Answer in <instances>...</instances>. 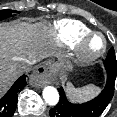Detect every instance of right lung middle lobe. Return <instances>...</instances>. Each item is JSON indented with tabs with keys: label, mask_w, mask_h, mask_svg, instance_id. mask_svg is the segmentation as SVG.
<instances>
[{
	"label": "right lung middle lobe",
	"mask_w": 117,
	"mask_h": 117,
	"mask_svg": "<svg viewBox=\"0 0 117 117\" xmlns=\"http://www.w3.org/2000/svg\"><path fill=\"white\" fill-rule=\"evenodd\" d=\"M15 12L19 13L18 11L14 10H0V20L10 17L11 14Z\"/></svg>",
	"instance_id": "1"
}]
</instances>
